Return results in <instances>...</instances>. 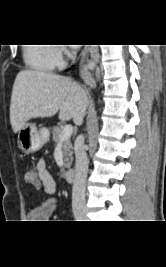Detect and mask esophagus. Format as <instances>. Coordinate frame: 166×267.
I'll return each mask as SVG.
<instances>
[{"instance_id": "34e87169", "label": "esophagus", "mask_w": 166, "mask_h": 267, "mask_svg": "<svg viewBox=\"0 0 166 267\" xmlns=\"http://www.w3.org/2000/svg\"><path fill=\"white\" fill-rule=\"evenodd\" d=\"M86 52H87V49L85 48L84 51L82 52V60H83ZM81 73H82V78L84 81H89V80L91 81L92 80L90 77V74L87 72L86 68H83Z\"/></svg>"}]
</instances>
